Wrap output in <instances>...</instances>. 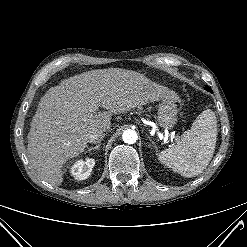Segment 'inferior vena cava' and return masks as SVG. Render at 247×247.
I'll list each match as a JSON object with an SVG mask.
<instances>
[{
    "mask_svg": "<svg viewBox=\"0 0 247 247\" xmlns=\"http://www.w3.org/2000/svg\"><path fill=\"white\" fill-rule=\"evenodd\" d=\"M105 137V133L103 129H97L93 132H91L87 136V142L88 143H99L102 141V139Z\"/></svg>",
    "mask_w": 247,
    "mask_h": 247,
    "instance_id": "602c4592",
    "label": "inferior vena cava"
}]
</instances>
